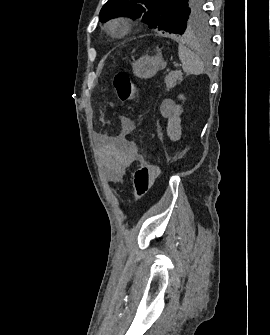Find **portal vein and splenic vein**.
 <instances>
[{"label": "portal vein and splenic vein", "instance_id": "obj_1", "mask_svg": "<svg viewBox=\"0 0 270 335\" xmlns=\"http://www.w3.org/2000/svg\"><path fill=\"white\" fill-rule=\"evenodd\" d=\"M174 65L176 66V68H181L183 64L181 62L180 63L176 62Z\"/></svg>", "mask_w": 270, "mask_h": 335}]
</instances>
